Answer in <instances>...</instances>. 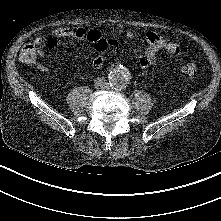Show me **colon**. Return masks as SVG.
<instances>
[{
	"instance_id": "1",
	"label": "colon",
	"mask_w": 221,
	"mask_h": 221,
	"mask_svg": "<svg viewBox=\"0 0 221 221\" xmlns=\"http://www.w3.org/2000/svg\"><path fill=\"white\" fill-rule=\"evenodd\" d=\"M118 43L117 40L101 39L95 45L98 52L106 51L110 46ZM38 49L34 44H26L22 47L19 53V59L24 64H34L37 60ZM198 68L194 61L188 60L181 68V73L187 77H194L197 74Z\"/></svg>"
}]
</instances>
